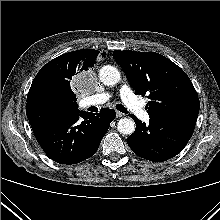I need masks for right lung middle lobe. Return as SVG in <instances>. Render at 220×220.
Here are the masks:
<instances>
[{
    "instance_id": "obj_1",
    "label": "right lung middle lobe",
    "mask_w": 220,
    "mask_h": 220,
    "mask_svg": "<svg viewBox=\"0 0 220 220\" xmlns=\"http://www.w3.org/2000/svg\"><path fill=\"white\" fill-rule=\"evenodd\" d=\"M27 101L76 108L73 99L64 90L50 84L41 85L34 89Z\"/></svg>"
}]
</instances>
